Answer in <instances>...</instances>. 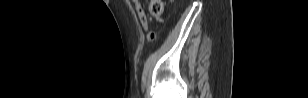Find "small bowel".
<instances>
[{"mask_svg": "<svg viewBox=\"0 0 308 98\" xmlns=\"http://www.w3.org/2000/svg\"><path fill=\"white\" fill-rule=\"evenodd\" d=\"M134 6L138 15L139 22L145 31H149V21L147 15L138 0L134 1Z\"/></svg>", "mask_w": 308, "mask_h": 98, "instance_id": "obj_1", "label": "small bowel"}]
</instances>
